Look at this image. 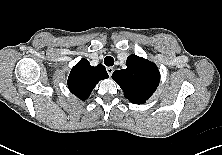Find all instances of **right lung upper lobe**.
Returning a JSON list of instances; mask_svg holds the SVG:
<instances>
[{
    "instance_id": "cb5924a9",
    "label": "right lung upper lobe",
    "mask_w": 222,
    "mask_h": 155,
    "mask_svg": "<svg viewBox=\"0 0 222 155\" xmlns=\"http://www.w3.org/2000/svg\"><path fill=\"white\" fill-rule=\"evenodd\" d=\"M108 77L106 68L102 64L93 67L83 58L71 69L68 87L75 96L85 100L90 96L96 84Z\"/></svg>"
}]
</instances>
